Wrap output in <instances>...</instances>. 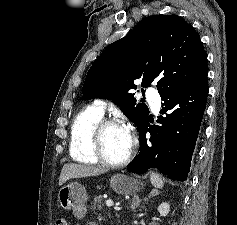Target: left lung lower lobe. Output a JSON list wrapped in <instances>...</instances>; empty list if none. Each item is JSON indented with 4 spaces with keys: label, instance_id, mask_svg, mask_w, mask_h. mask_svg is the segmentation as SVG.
Here are the masks:
<instances>
[{
    "label": "left lung lower lobe",
    "instance_id": "0a47b994",
    "mask_svg": "<svg viewBox=\"0 0 237 225\" xmlns=\"http://www.w3.org/2000/svg\"><path fill=\"white\" fill-rule=\"evenodd\" d=\"M207 76L196 86L185 85L161 94V114L154 125L148 116L139 127L140 148L127 166L129 172L144 174L152 167L170 179L185 181L199 134L208 96ZM150 132L151 138H146Z\"/></svg>",
    "mask_w": 237,
    "mask_h": 225
}]
</instances>
